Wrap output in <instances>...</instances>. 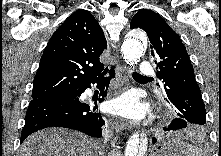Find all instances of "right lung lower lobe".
Here are the masks:
<instances>
[{"instance_id":"obj_1","label":"right lung lower lobe","mask_w":221,"mask_h":156,"mask_svg":"<svg viewBox=\"0 0 221 156\" xmlns=\"http://www.w3.org/2000/svg\"><path fill=\"white\" fill-rule=\"evenodd\" d=\"M108 68L95 79L82 85L70 98H38L33 99L28 107L25 125L21 134V143L33 132L47 127H65L81 131L92 137H101L102 126L105 121L95 108L85 103L81 95L91 84H98L100 88L99 102L104 100L110 79L115 77L113 69L109 71L110 77H104ZM106 87V90H104Z\"/></svg>"}]
</instances>
